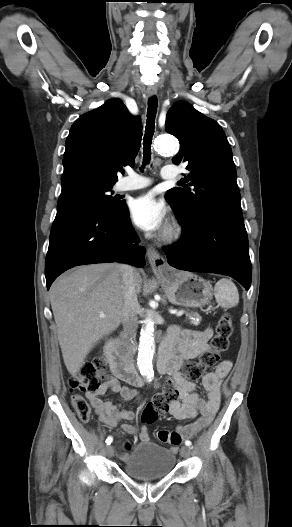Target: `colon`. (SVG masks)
Listing matches in <instances>:
<instances>
[{
    "label": "colon",
    "instance_id": "5ec220e1",
    "mask_svg": "<svg viewBox=\"0 0 292 527\" xmlns=\"http://www.w3.org/2000/svg\"><path fill=\"white\" fill-rule=\"evenodd\" d=\"M232 333V317L229 313H224L216 324L215 334L211 340V348L202 353L197 362H190L185 366L183 377L187 381L194 383L208 370L215 368L220 361L221 354L228 349ZM105 369V361L100 358L84 363L69 380L71 391H97L106 379ZM174 397L173 389L165 387L146 405L142 412V421L147 424L157 421L168 410V403ZM71 401L79 419L83 422H88L91 417V408L85 397L80 393H74Z\"/></svg>",
    "mask_w": 292,
    "mask_h": 527
}]
</instances>
